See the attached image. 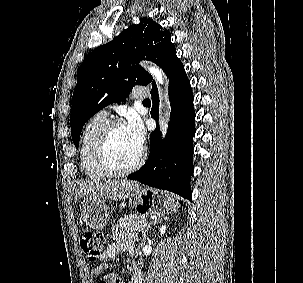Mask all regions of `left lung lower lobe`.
<instances>
[{
	"label": "left lung lower lobe",
	"mask_w": 303,
	"mask_h": 283,
	"mask_svg": "<svg viewBox=\"0 0 303 283\" xmlns=\"http://www.w3.org/2000/svg\"><path fill=\"white\" fill-rule=\"evenodd\" d=\"M169 78L171 115L166 138L159 129L150 135V154L144 166L128 179L174 192L191 200L190 179L193 174V145L195 113L190 81L177 57L165 71ZM153 107L151 116L159 117V98L156 83H152Z\"/></svg>",
	"instance_id": "obj_1"
}]
</instances>
